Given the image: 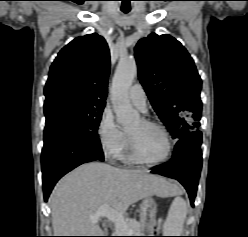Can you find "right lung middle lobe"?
I'll return each instance as SVG.
<instances>
[{"label":"right lung middle lobe","instance_id":"dd1d6c3e","mask_svg":"<svg viewBox=\"0 0 248 237\" xmlns=\"http://www.w3.org/2000/svg\"><path fill=\"white\" fill-rule=\"evenodd\" d=\"M105 102L61 97L44 103L46 128L60 127L81 132H96Z\"/></svg>","mask_w":248,"mask_h":237}]
</instances>
